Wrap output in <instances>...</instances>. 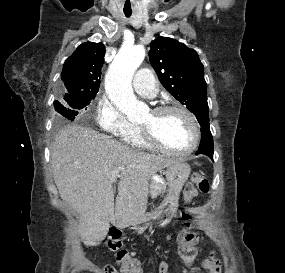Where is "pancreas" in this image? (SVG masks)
Returning <instances> with one entry per match:
<instances>
[{"mask_svg": "<svg viewBox=\"0 0 285 273\" xmlns=\"http://www.w3.org/2000/svg\"><path fill=\"white\" fill-rule=\"evenodd\" d=\"M149 188L151 198H156L158 195L166 192V186L156 180L151 181Z\"/></svg>", "mask_w": 285, "mask_h": 273, "instance_id": "cf45deb5", "label": "pancreas"}]
</instances>
